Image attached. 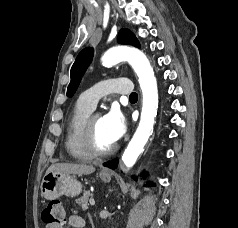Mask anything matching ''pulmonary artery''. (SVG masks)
I'll return each mask as SVG.
<instances>
[{
    "mask_svg": "<svg viewBox=\"0 0 238 228\" xmlns=\"http://www.w3.org/2000/svg\"><path fill=\"white\" fill-rule=\"evenodd\" d=\"M119 93L129 95L132 93V83L126 78H108L84 91L79 100L94 109L98 100L106 94Z\"/></svg>",
    "mask_w": 238,
    "mask_h": 228,
    "instance_id": "e3ab8cb5",
    "label": "pulmonary artery"
}]
</instances>
